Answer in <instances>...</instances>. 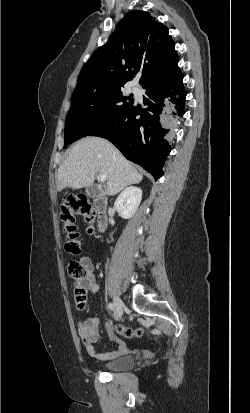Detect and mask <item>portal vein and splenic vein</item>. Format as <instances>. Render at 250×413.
I'll use <instances>...</instances> for the list:
<instances>
[{
  "instance_id": "1",
  "label": "portal vein and splenic vein",
  "mask_w": 250,
  "mask_h": 413,
  "mask_svg": "<svg viewBox=\"0 0 250 413\" xmlns=\"http://www.w3.org/2000/svg\"><path fill=\"white\" fill-rule=\"evenodd\" d=\"M106 178H107V176H106L105 174H100V176H99V180H100L101 182H105V181H106Z\"/></svg>"
}]
</instances>
